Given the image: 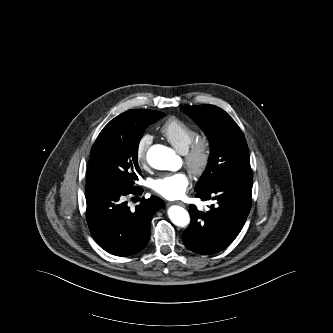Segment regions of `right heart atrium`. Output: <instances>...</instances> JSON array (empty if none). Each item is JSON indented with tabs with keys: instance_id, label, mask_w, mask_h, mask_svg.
<instances>
[{
	"instance_id": "obj_1",
	"label": "right heart atrium",
	"mask_w": 333,
	"mask_h": 333,
	"mask_svg": "<svg viewBox=\"0 0 333 333\" xmlns=\"http://www.w3.org/2000/svg\"><path fill=\"white\" fill-rule=\"evenodd\" d=\"M152 136L143 134L136 143V159L138 163L143 166L147 162V151L151 145Z\"/></svg>"
}]
</instances>
